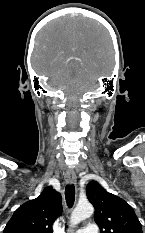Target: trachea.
<instances>
[{
  "label": "trachea",
  "instance_id": "1",
  "mask_svg": "<svg viewBox=\"0 0 145 233\" xmlns=\"http://www.w3.org/2000/svg\"><path fill=\"white\" fill-rule=\"evenodd\" d=\"M65 198L68 207H72L75 201V187L72 184H69L65 188Z\"/></svg>",
  "mask_w": 145,
  "mask_h": 233
}]
</instances>
